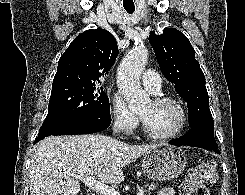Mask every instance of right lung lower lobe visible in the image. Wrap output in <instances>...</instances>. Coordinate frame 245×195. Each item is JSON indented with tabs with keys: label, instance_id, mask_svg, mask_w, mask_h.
I'll list each match as a JSON object with an SVG mask.
<instances>
[{
	"label": "right lung lower lobe",
	"instance_id": "right-lung-lower-lobe-1",
	"mask_svg": "<svg viewBox=\"0 0 245 195\" xmlns=\"http://www.w3.org/2000/svg\"><path fill=\"white\" fill-rule=\"evenodd\" d=\"M111 123L110 113L99 112L68 122L50 132L38 135L35 143L50 135L91 134L107 129Z\"/></svg>",
	"mask_w": 245,
	"mask_h": 195
}]
</instances>
